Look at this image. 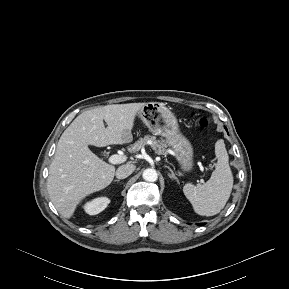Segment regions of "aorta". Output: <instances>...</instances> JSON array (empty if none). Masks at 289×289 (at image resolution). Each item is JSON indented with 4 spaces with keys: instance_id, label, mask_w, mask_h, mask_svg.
I'll list each match as a JSON object with an SVG mask.
<instances>
[{
    "instance_id": "aorta-1",
    "label": "aorta",
    "mask_w": 289,
    "mask_h": 289,
    "mask_svg": "<svg viewBox=\"0 0 289 289\" xmlns=\"http://www.w3.org/2000/svg\"><path fill=\"white\" fill-rule=\"evenodd\" d=\"M143 178L148 182H155L158 179V174L155 169L148 168L143 172Z\"/></svg>"
}]
</instances>
